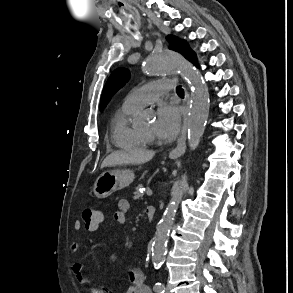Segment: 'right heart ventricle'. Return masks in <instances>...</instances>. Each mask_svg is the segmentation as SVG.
I'll list each match as a JSON object with an SVG mask.
<instances>
[{
  "label": "right heart ventricle",
  "mask_w": 293,
  "mask_h": 293,
  "mask_svg": "<svg viewBox=\"0 0 293 293\" xmlns=\"http://www.w3.org/2000/svg\"><path fill=\"white\" fill-rule=\"evenodd\" d=\"M138 110L122 105L112 119L111 139L113 144L122 150H140L149 145L150 141L143 132L131 125V118Z\"/></svg>",
  "instance_id": "e07e8e85"
}]
</instances>
